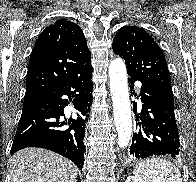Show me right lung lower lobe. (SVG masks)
<instances>
[{
  "mask_svg": "<svg viewBox=\"0 0 196 182\" xmlns=\"http://www.w3.org/2000/svg\"><path fill=\"white\" fill-rule=\"evenodd\" d=\"M92 71L90 62L32 105L23 108L11 148L12 155L27 147H40L70 159L82 169L85 123L93 99ZM70 102L78 111L77 118L63 120L64 107Z\"/></svg>",
  "mask_w": 196,
  "mask_h": 182,
  "instance_id": "obj_1",
  "label": "right lung lower lobe"
}]
</instances>
